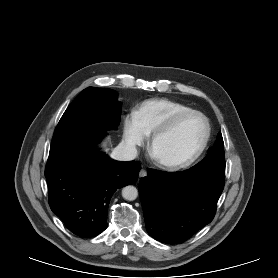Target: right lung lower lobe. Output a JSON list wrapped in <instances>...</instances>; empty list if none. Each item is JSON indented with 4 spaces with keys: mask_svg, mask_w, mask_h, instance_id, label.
<instances>
[{
    "mask_svg": "<svg viewBox=\"0 0 278 278\" xmlns=\"http://www.w3.org/2000/svg\"><path fill=\"white\" fill-rule=\"evenodd\" d=\"M105 131H89L50 146L45 168L51 210L81 237H94L107 228L112 194L133 184L141 165L118 162L94 149Z\"/></svg>",
    "mask_w": 278,
    "mask_h": 278,
    "instance_id": "right-lung-lower-lobe-1",
    "label": "right lung lower lobe"
}]
</instances>
